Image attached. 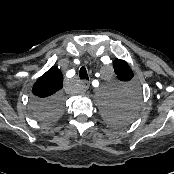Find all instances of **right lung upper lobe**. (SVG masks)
Instances as JSON below:
<instances>
[{"mask_svg":"<svg viewBox=\"0 0 174 174\" xmlns=\"http://www.w3.org/2000/svg\"><path fill=\"white\" fill-rule=\"evenodd\" d=\"M62 73L53 66L34 84L32 93L37 98H49L60 93L62 89Z\"/></svg>","mask_w":174,"mask_h":174,"instance_id":"cb5924a9","label":"right lung upper lobe"}]
</instances>
